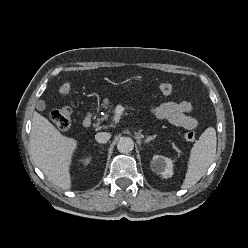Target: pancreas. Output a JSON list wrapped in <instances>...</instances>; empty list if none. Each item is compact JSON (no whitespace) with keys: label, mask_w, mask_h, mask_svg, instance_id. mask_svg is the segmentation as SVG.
I'll use <instances>...</instances> for the list:
<instances>
[{"label":"pancreas","mask_w":248,"mask_h":248,"mask_svg":"<svg viewBox=\"0 0 248 248\" xmlns=\"http://www.w3.org/2000/svg\"><path fill=\"white\" fill-rule=\"evenodd\" d=\"M108 105H109V102H108V101H106V102H104V104H102V106H103L105 109L108 108ZM109 107H110V109H112L113 105H110ZM107 118H108V115H107V114L104 115L103 119L106 120ZM93 126L96 127V129H100V128H101V127H100V120H98L97 123H95Z\"/></svg>","instance_id":"1"}]
</instances>
